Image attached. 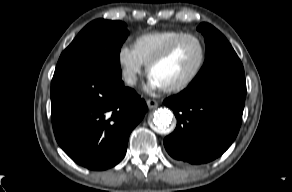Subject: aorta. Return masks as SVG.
<instances>
[{"instance_id": "1", "label": "aorta", "mask_w": 292, "mask_h": 192, "mask_svg": "<svg viewBox=\"0 0 292 192\" xmlns=\"http://www.w3.org/2000/svg\"><path fill=\"white\" fill-rule=\"evenodd\" d=\"M173 120V114L168 109H158L153 115V122L158 133L167 134L171 132L170 126Z\"/></svg>"}]
</instances>
